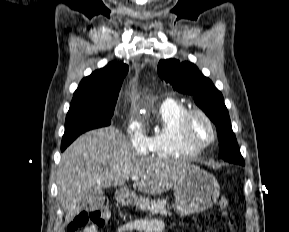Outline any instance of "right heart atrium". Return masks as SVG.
<instances>
[{"mask_svg": "<svg viewBox=\"0 0 289 232\" xmlns=\"http://www.w3.org/2000/svg\"><path fill=\"white\" fill-rule=\"evenodd\" d=\"M126 135L138 154H146L150 150L149 138L146 136L141 122L136 118H130L126 126Z\"/></svg>", "mask_w": 289, "mask_h": 232, "instance_id": "1", "label": "right heart atrium"}]
</instances>
